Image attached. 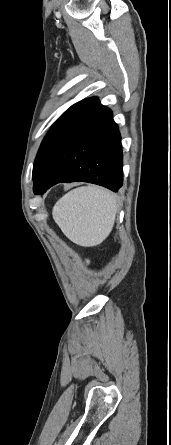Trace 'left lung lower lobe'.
Returning <instances> with one entry per match:
<instances>
[{
	"label": "left lung lower lobe",
	"mask_w": 171,
	"mask_h": 445,
	"mask_svg": "<svg viewBox=\"0 0 171 445\" xmlns=\"http://www.w3.org/2000/svg\"><path fill=\"white\" fill-rule=\"evenodd\" d=\"M121 136L112 112L98 104L60 139L33 177L35 194L60 182H90L119 192L123 183Z\"/></svg>",
	"instance_id": "0a47b994"
}]
</instances>
